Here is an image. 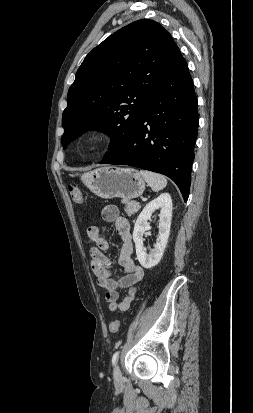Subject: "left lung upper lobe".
Here are the masks:
<instances>
[{"label":"left lung upper lobe","mask_w":253,"mask_h":413,"mask_svg":"<svg viewBox=\"0 0 253 413\" xmlns=\"http://www.w3.org/2000/svg\"><path fill=\"white\" fill-rule=\"evenodd\" d=\"M178 46L153 20L135 21L95 47L79 67L63 112V149L88 130L111 136L106 161L129 142L145 108L170 73Z\"/></svg>","instance_id":"left-lung-upper-lobe-1"}]
</instances>
